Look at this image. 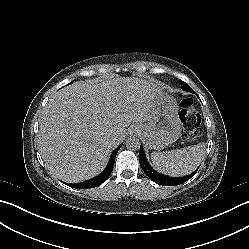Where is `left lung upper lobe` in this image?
Here are the masks:
<instances>
[{
	"mask_svg": "<svg viewBox=\"0 0 249 249\" xmlns=\"http://www.w3.org/2000/svg\"><path fill=\"white\" fill-rule=\"evenodd\" d=\"M180 83H181V87L183 88V90H185L187 92H193L192 89L190 88V86L187 83H185L183 81H180ZM177 180L178 179H174L173 182L177 183L178 182Z\"/></svg>",
	"mask_w": 249,
	"mask_h": 249,
	"instance_id": "left-lung-upper-lobe-1",
	"label": "left lung upper lobe"
}]
</instances>
